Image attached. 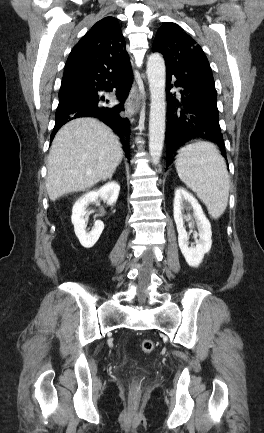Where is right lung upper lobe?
Segmentation results:
<instances>
[{"instance_id":"cb5924a9","label":"right lung upper lobe","mask_w":264,"mask_h":433,"mask_svg":"<svg viewBox=\"0 0 264 433\" xmlns=\"http://www.w3.org/2000/svg\"><path fill=\"white\" fill-rule=\"evenodd\" d=\"M129 64L126 43L118 20L105 17L74 46L67 59L64 76L101 68L117 69Z\"/></svg>"}]
</instances>
